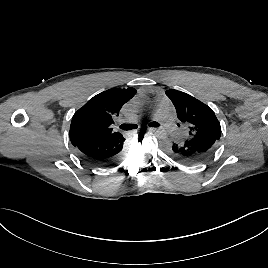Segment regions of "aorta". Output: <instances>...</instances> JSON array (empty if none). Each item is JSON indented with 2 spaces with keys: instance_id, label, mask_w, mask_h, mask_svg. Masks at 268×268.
<instances>
[{
  "instance_id": "1",
  "label": "aorta",
  "mask_w": 268,
  "mask_h": 268,
  "mask_svg": "<svg viewBox=\"0 0 268 268\" xmlns=\"http://www.w3.org/2000/svg\"><path fill=\"white\" fill-rule=\"evenodd\" d=\"M137 103L139 106H144L147 103V99L145 97H140ZM155 137L158 140H165L168 137V130L165 127H158L155 130Z\"/></svg>"
}]
</instances>
